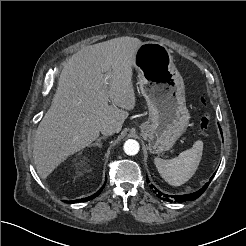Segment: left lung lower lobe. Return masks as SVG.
Returning a JSON list of instances; mask_svg holds the SVG:
<instances>
[{
    "mask_svg": "<svg viewBox=\"0 0 246 246\" xmlns=\"http://www.w3.org/2000/svg\"><path fill=\"white\" fill-rule=\"evenodd\" d=\"M221 131V129H220ZM222 133V131H221ZM215 174H213V176L210 178L209 182H207L203 188H201L200 190H198L197 192L191 193V194H186V195H175V196H171V195H166V194H162L159 190H157L153 185H150L151 188L155 189V192L157 193L158 197H161V199H163L164 201H168V202H185V201H193L195 199H197L200 195L203 194V192L206 190V188L208 187V185L210 184L211 180L213 179ZM147 183H149L148 178H146Z\"/></svg>",
    "mask_w": 246,
    "mask_h": 246,
    "instance_id": "1",
    "label": "left lung lower lobe"
}]
</instances>
